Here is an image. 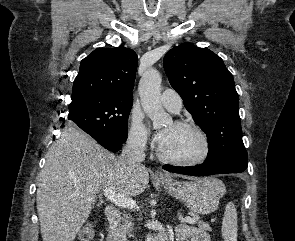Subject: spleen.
I'll return each mask as SVG.
<instances>
[{"instance_id":"obj_1","label":"spleen","mask_w":295,"mask_h":241,"mask_svg":"<svg viewBox=\"0 0 295 241\" xmlns=\"http://www.w3.org/2000/svg\"><path fill=\"white\" fill-rule=\"evenodd\" d=\"M221 230L224 241H237V210L233 202L225 207Z\"/></svg>"}]
</instances>
